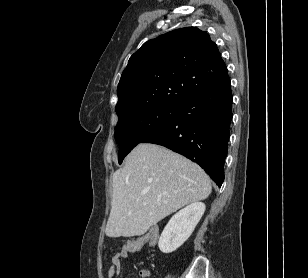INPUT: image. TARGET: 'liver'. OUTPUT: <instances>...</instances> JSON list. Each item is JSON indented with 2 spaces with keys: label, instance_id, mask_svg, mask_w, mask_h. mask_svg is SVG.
Here are the masks:
<instances>
[{
  "label": "liver",
  "instance_id": "1",
  "mask_svg": "<svg viewBox=\"0 0 308 278\" xmlns=\"http://www.w3.org/2000/svg\"><path fill=\"white\" fill-rule=\"evenodd\" d=\"M108 237L140 236L178 209L206 199L211 182L204 170L163 146L140 143L113 174Z\"/></svg>",
  "mask_w": 308,
  "mask_h": 278
}]
</instances>
